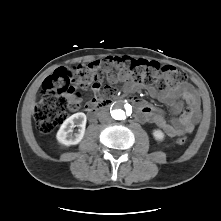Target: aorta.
Returning a JSON list of instances; mask_svg holds the SVG:
<instances>
[{
  "instance_id": "1",
  "label": "aorta",
  "mask_w": 221,
  "mask_h": 221,
  "mask_svg": "<svg viewBox=\"0 0 221 221\" xmlns=\"http://www.w3.org/2000/svg\"><path fill=\"white\" fill-rule=\"evenodd\" d=\"M111 116L115 120H124L127 117V110L122 104L115 105L111 111Z\"/></svg>"
}]
</instances>
